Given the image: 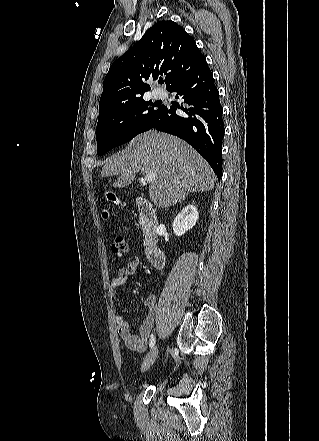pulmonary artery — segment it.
<instances>
[{"mask_svg":"<svg viewBox=\"0 0 319 441\" xmlns=\"http://www.w3.org/2000/svg\"><path fill=\"white\" fill-rule=\"evenodd\" d=\"M153 96L158 99L163 96V93L161 91L155 90L153 91Z\"/></svg>","mask_w":319,"mask_h":441,"instance_id":"pulmonary-artery-1","label":"pulmonary artery"}]
</instances>
